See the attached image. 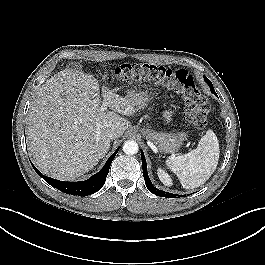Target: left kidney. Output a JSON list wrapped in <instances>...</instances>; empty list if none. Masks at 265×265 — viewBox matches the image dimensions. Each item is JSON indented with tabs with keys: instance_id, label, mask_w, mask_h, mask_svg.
I'll list each match as a JSON object with an SVG mask.
<instances>
[{
	"instance_id": "obj_1",
	"label": "left kidney",
	"mask_w": 265,
	"mask_h": 265,
	"mask_svg": "<svg viewBox=\"0 0 265 265\" xmlns=\"http://www.w3.org/2000/svg\"><path fill=\"white\" fill-rule=\"evenodd\" d=\"M158 177L160 179V181L166 185V186H170L172 185V179L170 178V176L161 168L158 169Z\"/></svg>"
}]
</instances>
